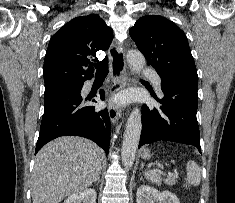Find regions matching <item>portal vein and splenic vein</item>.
Segmentation results:
<instances>
[{"label": "portal vein and splenic vein", "instance_id": "obj_1", "mask_svg": "<svg viewBox=\"0 0 235 203\" xmlns=\"http://www.w3.org/2000/svg\"><path fill=\"white\" fill-rule=\"evenodd\" d=\"M168 176H169V177H172V176H173V173H172V172H169V173H168Z\"/></svg>", "mask_w": 235, "mask_h": 203}]
</instances>
